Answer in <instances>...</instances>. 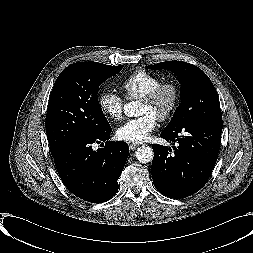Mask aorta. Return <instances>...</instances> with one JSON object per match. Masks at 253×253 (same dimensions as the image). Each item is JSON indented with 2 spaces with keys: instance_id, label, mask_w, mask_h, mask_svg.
<instances>
[{
  "instance_id": "aorta-1",
  "label": "aorta",
  "mask_w": 253,
  "mask_h": 253,
  "mask_svg": "<svg viewBox=\"0 0 253 253\" xmlns=\"http://www.w3.org/2000/svg\"><path fill=\"white\" fill-rule=\"evenodd\" d=\"M124 113L128 117H133L137 113V102H130L124 105ZM135 156L140 163H149L152 161L154 153L149 146H141L137 149Z\"/></svg>"
}]
</instances>
